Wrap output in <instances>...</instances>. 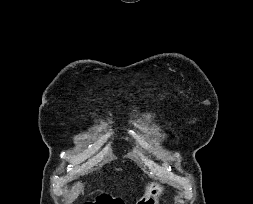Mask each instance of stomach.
Wrapping results in <instances>:
<instances>
[{"label": "stomach", "mask_w": 253, "mask_h": 204, "mask_svg": "<svg viewBox=\"0 0 253 204\" xmlns=\"http://www.w3.org/2000/svg\"><path fill=\"white\" fill-rule=\"evenodd\" d=\"M147 190L136 204H159V197L165 193V188L158 183H150Z\"/></svg>", "instance_id": "stomach-1"}]
</instances>
